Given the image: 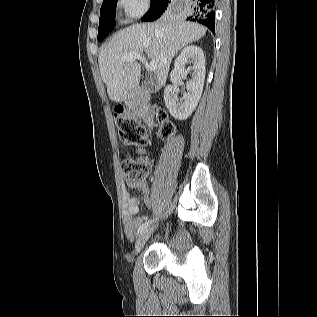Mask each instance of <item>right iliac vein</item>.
Returning <instances> with one entry per match:
<instances>
[{"label":"right iliac vein","instance_id":"63e3f726","mask_svg":"<svg viewBox=\"0 0 317 317\" xmlns=\"http://www.w3.org/2000/svg\"><path fill=\"white\" fill-rule=\"evenodd\" d=\"M153 231H154L153 227L148 228L139 235L135 244V252H139L143 248V246L145 245V243L147 242V240L149 239Z\"/></svg>","mask_w":317,"mask_h":317}]
</instances>
